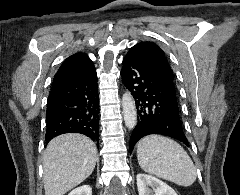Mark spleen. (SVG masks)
<instances>
[{
	"instance_id": "1",
	"label": "spleen",
	"mask_w": 240,
	"mask_h": 195,
	"mask_svg": "<svg viewBox=\"0 0 240 195\" xmlns=\"http://www.w3.org/2000/svg\"><path fill=\"white\" fill-rule=\"evenodd\" d=\"M137 159L141 169L177 185H192L196 167L184 147L164 135H146L137 143Z\"/></svg>"
}]
</instances>
